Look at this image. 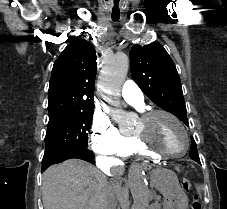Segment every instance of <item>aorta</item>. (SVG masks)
I'll return each instance as SVG.
<instances>
[{
    "mask_svg": "<svg viewBox=\"0 0 227 209\" xmlns=\"http://www.w3.org/2000/svg\"><path fill=\"white\" fill-rule=\"evenodd\" d=\"M129 68V57L125 53H117L109 57L103 66L98 87L104 94L106 101L117 102V97L121 91L123 82ZM103 107L113 113H122L119 109H110L106 105ZM128 185L133 197V209L149 208V190L145 178V172L140 164H133L129 168Z\"/></svg>",
    "mask_w": 227,
    "mask_h": 209,
    "instance_id": "obj_1",
    "label": "aorta"
}]
</instances>
